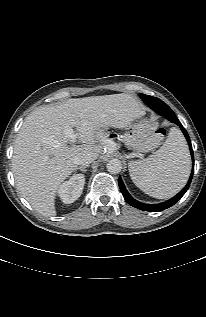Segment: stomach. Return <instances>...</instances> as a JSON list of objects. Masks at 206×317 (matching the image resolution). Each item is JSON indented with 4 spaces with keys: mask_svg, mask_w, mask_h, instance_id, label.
<instances>
[{
    "mask_svg": "<svg viewBox=\"0 0 206 317\" xmlns=\"http://www.w3.org/2000/svg\"><path fill=\"white\" fill-rule=\"evenodd\" d=\"M150 125V122L146 119L131 122L126 127V133L124 134L125 145L137 152L152 150L154 148L151 135L153 131Z\"/></svg>",
    "mask_w": 206,
    "mask_h": 317,
    "instance_id": "1",
    "label": "stomach"
}]
</instances>
